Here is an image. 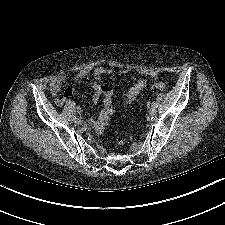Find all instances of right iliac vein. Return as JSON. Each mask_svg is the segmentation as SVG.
Returning <instances> with one entry per match:
<instances>
[{
    "label": "right iliac vein",
    "instance_id": "63e3f726",
    "mask_svg": "<svg viewBox=\"0 0 225 225\" xmlns=\"http://www.w3.org/2000/svg\"><path fill=\"white\" fill-rule=\"evenodd\" d=\"M74 123H75V125L79 126L81 124V120L77 118L74 120Z\"/></svg>",
    "mask_w": 225,
    "mask_h": 225
}]
</instances>
